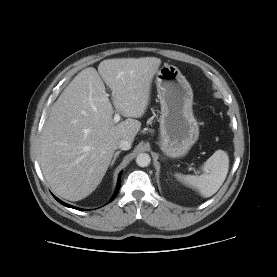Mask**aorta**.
Wrapping results in <instances>:
<instances>
[{
    "label": "aorta",
    "instance_id": "obj_1",
    "mask_svg": "<svg viewBox=\"0 0 277 277\" xmlns=\"http://www.w3.org/2000/svg\"><path fill=\"white\" fill-rule=\"evenodd\" d=\"M151 162V157L147 153H141L136 157V163L140 167H147Z\"/></svg>",
    "mask_w": 277,
    "mask_h": 277
}]
</instances>
